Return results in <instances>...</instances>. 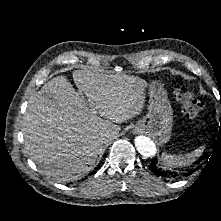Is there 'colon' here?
<instances>
[{
    "label": "colon",
    "instance_id": "colon-1",
    "mask_svg": "<svg viewBox=\"0 0 221 221\" xmlns=\"http://www.w3.org/2000/svg\"><path fill=\"white\" fill-rule=\"evenodd\" d=\"M176 97L182 104L183 112L188 118H196L201 114L203 104L197 100L193 93L187 90L185 87H177Z\"/></svg>",
    "mask_w": 221,
    "mask_h": 221
}]
</instances>
